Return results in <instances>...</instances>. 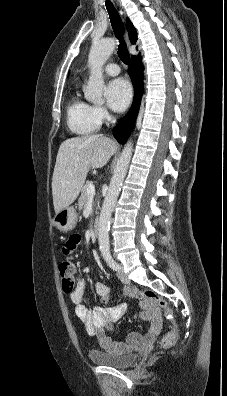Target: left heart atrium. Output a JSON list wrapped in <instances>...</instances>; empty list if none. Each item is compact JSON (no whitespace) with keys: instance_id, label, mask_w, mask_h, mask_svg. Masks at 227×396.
Wrapping results in <instances>:
<instances>
[{"instance_id":"left-heart-atrium-1","label":"left heart atrium","mask_w":227,"mask_h":396,"mask_svg":"<svg viewBox=\"0 0 227 396\" xmlns=\"http://www.w3.org/2000/svg\"><path fill=\"white\" fill-rule=\"evenodd\" d=\"M132 90L129 83L123 78L112 80L105 89V99L108 106L114 111H123L129 105Z\"/></svg>"}]
</instances>
